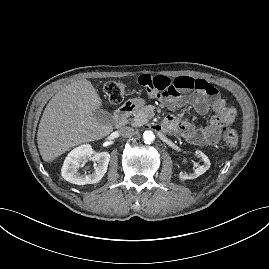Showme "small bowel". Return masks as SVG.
<instances>
[{
  "mask_svg": "<svg viewBox=\"0 0 269 269\" xmlns=\"http://www.w3.org/2000/svg\"><path fill=\"white\" fill-rule=\"evenodd\" d=\"M176 79L158 73L143 75L139 77L138 81L146 93L153 94L159 101L167 102L171 108L191 104L200 114H205L212 109L215 115L211 117L209 124L204 128H199L174 116H169L164 125L167 130L177 132L194 145L216 144L221 130L235 120V108L228 105L218 91L203 79L188 76Z\"/></svg>",
  "mask_w": 269,
  "mask_h": 269,
  "instance_id": "c3829d8e",
  "label": "small bowel"
}]
</instances>
